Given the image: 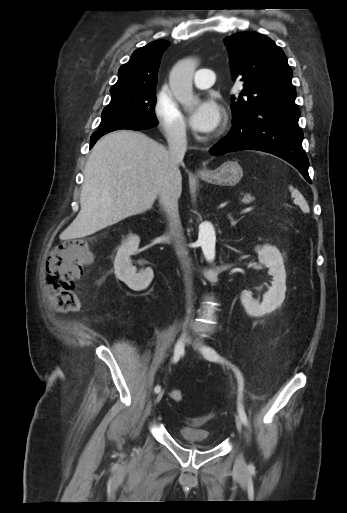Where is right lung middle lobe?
Wrapping results in <instances>:
<instances>
[{"label": "right lung middle lobe", "instance_id": "right-lung-middle-lobe-1", "mask_svg": "<svg viewBox=\"0 0 347 513\" xmlns=\"http://www.w3.org/2000/svg\"><path fill=\"white\" fill-rule=\"evenodd\" d=\"M110 93L111 101L102 112L98 130L122 124H136L148 128L158 125L154 112L155 87Z\"/></svg>", "mask_w": 347, "mask_h": 513}]
</instances>
